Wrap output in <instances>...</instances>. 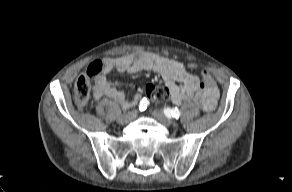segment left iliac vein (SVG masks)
I'll use <instances>...</instances> for the list:
<instances>
[{
	"instance_id": "4c4485c4",
	"label": "left iliac vein",
	"mask_w": 292,
	"mask_h": 192,
	"mask_svg": "<svg viewBox=\"0 0 292 192\" xmlns=\"http://www.w3.org/2000/svg\"><path fill=\"white\" fill-rule=\"evenodd\" d=\"M152 115L154 116L155 119H157L159 122L166 126H171L172 125V120L167 117L162 111L159 110H154L152 112Z\"/></svg>"
}]
</instances>
